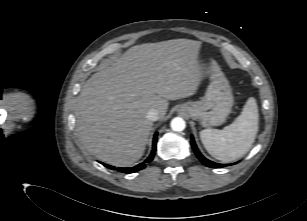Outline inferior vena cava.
<instances>
[{"instance_id": "1", "label": "inferior vena cava", "mask_w": 307, "mask_h": 221, "mask_svg": "<svg viewBox=\"0 0 307 221\" xmlns=\"http://www.w3.org/2000/svg\"><path fill=\"white\" fill-rule=\"evenodd\" d=\"M147 119H149L150 121H157V120H159V112H158V110L151 109L147 113Z\"/></svg>"}]
</instances>
